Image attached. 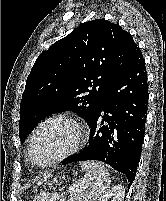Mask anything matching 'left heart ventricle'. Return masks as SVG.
I'll return each mask as SVG.
<instances>
[{"label": "left heart ventricle", "mask_w": 166, "mask_h": 201, "mask_svg": "<svg viewBox=\"0 0 166 201\" xmlns=\"http://www.w3.org/2000/svg\"><path fill=\"white\" fill-rule=\"evenodd\" d=\"M76 139L75 128L65 122H53L44 126L37 134L32 146V159L42 164L66 151Z\"/></svg>", "instance_id": "1"}]
</instances>
